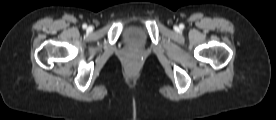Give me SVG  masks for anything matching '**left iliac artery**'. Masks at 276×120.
I'll return each instance as SVG.
<instances>
[{"instance_id": "1", "label": "left iliac artery", "mask_w": 276, "mask_h": 120, "mask_svg": "<svg viewBox=\"0 0 276 120\" xmlns=\"http://www.w3.org/2000/svg\"><path fill=\"white\" fill-rule=\"evenodd\" d=\"M180 28H182V29H183V28H184V25H183V24H181V25H180Z\"/></svg>"}]
</instances>
